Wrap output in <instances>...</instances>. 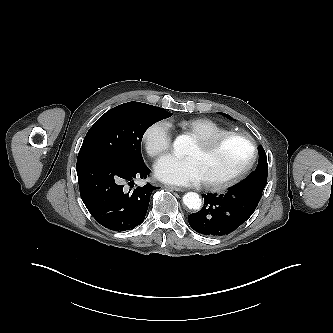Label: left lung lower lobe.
I'll return each mask as SVG.
<instances>
[{
	"mask_svg": "<svg viewBox=\"0 0 333 333\" xmlns=\"http://www.w3.org/2000/svg\"><path fill=\"white\" fill-rule=\"evenodd\" d=\"M204 206L189 215L190 226L206 236H222L242 225L255 211L262 194L231 187L225 194H207Z\"/></svg>",
	"mask_w": 333,
	"mask_h": 333,
	"instance_id": "1",
	"label": "left lung lower lobe"
}]
</instances>
